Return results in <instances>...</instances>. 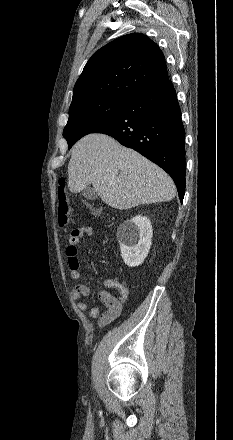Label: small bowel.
<instances>
[{
    "label": "small bowel",
    "mask_w": 233,
    "mask_h": 440,
    "mask_svg": "<svg viewBox=\"0 0 233 440\" xmlns=\"http://www.w3.org/2000/svg\"><path fill=\"white\" fill-rule=\"evenodd\" d=\"M92 235L93 228L90 226H81L79 228H75L71 232L68 246L66 248V255L68 257L70 274L73 279L81 280L83 278L78 259V247L82 238L91 237ZM102 286L103 288L98 291L97 296L101 303L105 306L106 310L101 312V306L94 305L87 314L90 319H97L99 327H104L118 319L122 315L125 303L129 298L128 287L116 279H106L103 281ZM107 289H116L118 291V296L112 295L107 291ZM89 294L90 289L84 284H78L72 292L73 298L75 300H79L78 308L82 312H85L88 308L85 299L89 296Z\"/></svg>",
    "instance_id": "small-bowel-1"
}]
</instances>
